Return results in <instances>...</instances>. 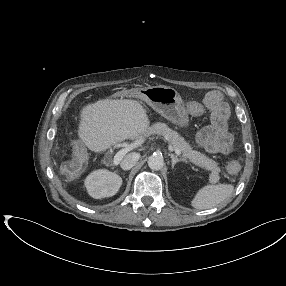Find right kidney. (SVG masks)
Returning a JSON list of instances; mask_svg holds the SVG:
<instances>
[{"label": "right kidney", "mask_w": 286, "mask_h": 286, "mask_svg": "<svg viewBox=\"0 0 286 286\" xmlns=\"http://www.w3.org/2000/svg\"><path fill=\"white\" fill-rule=\"evenodd\" d=\"M121 185L122 178L116 173L110 172L106 169L93 171L85 180V186L88 194L95 199L115 195Z\"/></svg>", "instance_id": "obj_1"}]
</instances>
